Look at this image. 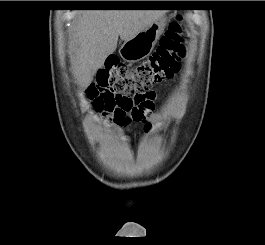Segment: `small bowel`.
<instances>
[{"instance_id":"c3829d8e","label":"small bowel","mask_w":265,"mask_h":245,"mask_svg":"<svg viewBox=\"0 0 265 245\" xmlns=\"http://www.w3.org/2000/svg\"><path fill=\"white\" fill-rule=\"evenodd\" d=\"M85 98L88 100V101H93L95 100L98 96H99V91H98V87L96 84L94 83H91L85 94H84ZM145 113L148 114V119L151 121V122H158L160 120L163 119V115L161 113H158V112H155L153 111L154 110V107H153V104L150 105V106H146L145 109H144ZM130 121L129 122H124V123H119V127H120V131L123 132L125 130H128L129 127H130Z\"/></svg>"}]
</instances>
